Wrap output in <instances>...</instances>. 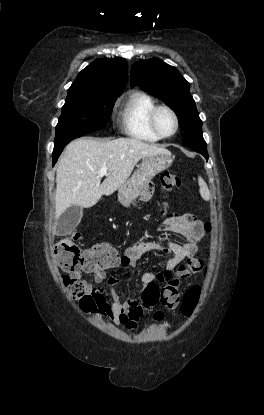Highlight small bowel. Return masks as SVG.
Wrapping results in <instances>:
<instances>
[{"instance_id":"1","label":"small bowel","mask_w":264,"mask_h":415,"mask_svg":"<svg viewBox=\"0 0 264 415\" xmlns=\"http://www.w3.org/2000/svg\"><path fill=\"white\" fill-rule=\"evenodd\" d=\"M162 228L183 236L186 242L181 244L168 241L166 245H162L155 241H145L129 246L124 250L119 265L122 268H134L137 260L143 255L150 252H162L170 255V258L164 264V272H170L185 259L192 258L195 255L204 234L201 221L190 216L181 217L177 214H171L162 223ZM108 268L85 269L84 273L92 274L95 283H106L105 287H95L92 283L85 282V288L95 300L102 315L112 320L115 325L124 326L127 330L134 331L137 329L145 309L140 300L122 301L120 299L114 290L118 280L114 277H107L106 270ZM158 276L159 273L157 272H146L141 276L142 287L139 289L141 296L146 285L154 283ZM108 297H110V300H108Z\"/></svg>"}]
</instances>
